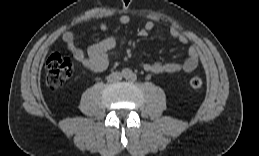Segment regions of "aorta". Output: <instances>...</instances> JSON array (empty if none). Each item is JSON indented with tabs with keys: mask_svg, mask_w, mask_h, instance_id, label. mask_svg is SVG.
Here are the masks:
<instances>
[{
	"mask_svg": "<svg viewBox=\"0 0 259 156\" xmlns=\"http://www.w3.org/2000/svg\"><path fill=\"white\" fill-rule=\"evenodd\" d=\"M131 76V71H128L127 74L125 75L126 78H129Z\"/></svg>",
	"mask_w": 259,
	"mask_h": 156,
	"instance_id": "762f6f07",
	"label": "aorta"
}]
</instances>
